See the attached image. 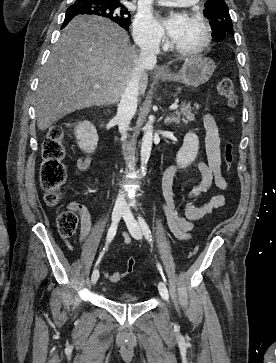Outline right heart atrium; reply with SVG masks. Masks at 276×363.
<instances>
[{
  "label": "right heart atrium",
  "instance_id": "1",
  "mask_svg": "<svg viewBox=\"0 0 276 363\" xmlns=\"http://www.w3.org/2000/svg\"><path fill=\"white\" fill-rule=\"evenodd\" d=\"M134 37L137 43L148 48H157L164 41V34L152 14L141 11L133 25Z\"/></svg>",
  "mask_w": 276,
  "mask_h": 363
}]
</instances>
